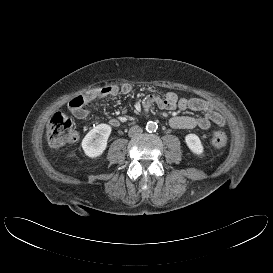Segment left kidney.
<instances>
[{
  "mask_svg": "<svg viewBox=\"0 0 273 273\" xmlns=\"http://www.w3.org/2000/svg\"><path fill=\"white\" fill-rule=\"evenodd\" d=\"M185 142L188 148L196 155H201L204 151L200 138L196 134L185 136Z\"/></svg>",
  "mask_w": 273,
  "mask_h": 273,
  "instance_id": "5707ae66",
  "label": "left kidney"
}]
</instances>
